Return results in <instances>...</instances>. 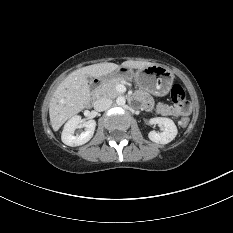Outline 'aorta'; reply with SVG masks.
<instances>
[{
  "instance_id": "1",
  "label": "aorta",
  "mask_w": 233,
  "mask_h": 233,
  "mask_svg": "<svg viewBox=\"0 0 233 233\" xmlns=\"http://www.w3.org/2000/svg\"><path fill=\"white\" fill-rule=\"evenodd\" d=\"M125 103H126V100H125V98H124L123 96H119V97L116 99V104H117L118 106H123V105H125Z\"/></svg>"
}]
</instances>
